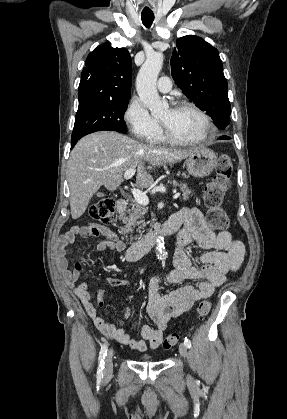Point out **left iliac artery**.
Returning <instances> with one entry per match:
<instances>
[{
  "label": "left iliac artery",
  "instance_id": "obj_1",
  "mask_svg": "<svg viewBox=\"0 0 287 419\" xmlns=\"http://www.w3.org/2000/svg\"><path fill=\"white\" fill-rule=\"evenodd\" d=\"M184 344L187 346V348L191 347V341L187 337L184 340Z\"/></svg>",
  "mask_w": 287,
  "mask_h": 419
}]
</instances>
